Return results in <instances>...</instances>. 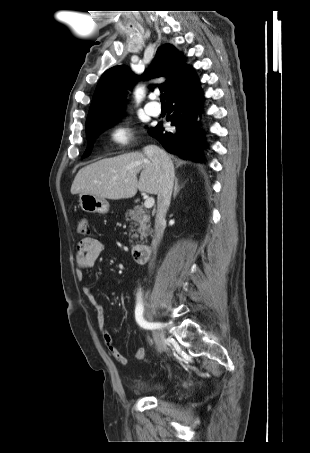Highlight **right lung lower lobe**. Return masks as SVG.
<instances>
[{
	"mask_svg": "<svg viewBox=\"0 0 310 453\" xmlns=\"http://www.w3.org/2000/svg\"><path fill=\"white\" fill-rule=\"evenodd\" d=\"M203 94L193 71L190 72L166 98L168 121L176 127L173 132H165L160 127L149 129L151 136L159 140L170 153L184 159L200 161L202 139L198 132L197 113L203 102Z\"/></svg>",
	"mask_w": 310,
	"mask_h": 453,
	"instance_id": "98d812e1",
	"label": "right lung lower lobe"
}]
</instances>
